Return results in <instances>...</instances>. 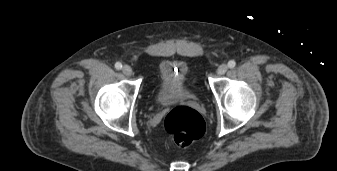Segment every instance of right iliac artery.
<instances>
[{"mask_svg": "<svg viewBox=\"0 0 337 171\" xmlns=\"http://www.w3.org/2000/svg\"><path fill=\"white\" fill-rule=\"evenodd\" d=\"M115 68H116L117 70H120V69L122 68V64H121L120 62H117V63L115 64Z\"/></svg>", "mask_w": 337, "mask_h": 171, "instance_id": "82829eb1", "label": "right iliac artery"}]
</instances>
